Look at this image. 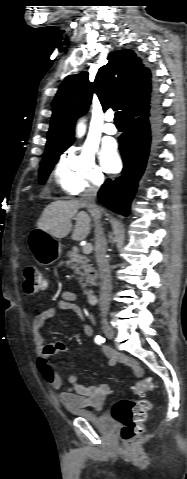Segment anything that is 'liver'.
<instances>
[{"mask_svg": "<svg viewBox=\"0 0 187 479\" xmlns=\"http://www.w3.org/2000/svg\"><path fill=\"white\" fill-rule=\"evenodd\" d=\"M84 206L80 200L54 201L43 211L37 221V228L55 238H64L72 230V218L76 216V224L72 239L84 240L91 230V218L85 211H79Z\"/></svg>", "mask_w": 187, "mask_h": 479, "instance_id": "1", "label": "liver"}]
</instances>
